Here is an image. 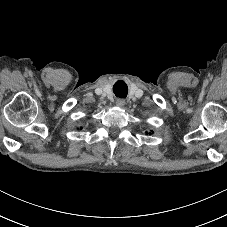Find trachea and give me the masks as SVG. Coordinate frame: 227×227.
<instances>
[{
    "mask_svg": "<svg viewBox=\"0 0 227 227\" xmlns=\"http://www.w3.org/2000/svg\"><path fill=\"white\" fill-rule=\"evenodd\" d=\"M113 91L117 97L125 98L128 93V87L123 81H118L114 85Z\"/></svg>",
    "mask_w": 227,
    "mask_h": 227,
    "instance_id": "trachea-1",
    "label": "trachea"
}]
</instances>
